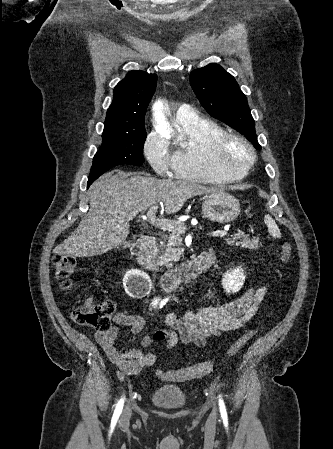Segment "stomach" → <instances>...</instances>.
<instances>
[{"label": "stomach", "mask_w": 333, "mask_h": 449, "mask_svg": "<svg viewBox=\"0 0 333 449\" xmlns=\"http://www.w3.org/2000/svg\"><path fill=\"white\" fill-rule=\"evenodd\" d=\"M202 213L212 221L229 223L240 214V203L231 194L218 190L207 196L202 205Z\"/></svg>", "instance_id": "obj_1"}]
</instances>
